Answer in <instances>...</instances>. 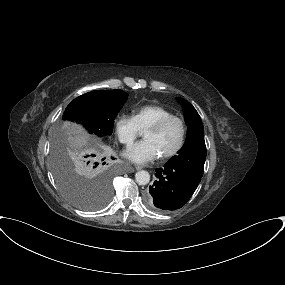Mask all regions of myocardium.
<instances>
[{"instance_id": "obj_1", "label": "myocardium", "mask_w": 285, "mask_h": 285, "mask_svg": "<svg viewBox=\"0 0 285 285\" xmlns=\"http://www.w3.org/2000/svg\"><path fill=\"white\" fill-rule=\"evenodd\" d=\"M172 121H177L180 124V126H181V137H180L179 143L177 144V146L172 151H170L167 154L159 156V158L161 160H169V159L175 157L182 150L184 143H185V140H186V134H187V128H186L185 121L178 116L172 115V116H168V117H165V118L158 120L157 122H155L154 124L149 126L144 131V132H146V131H152V132L160 131L168 123H170Z\"/></svg>"}]
</instances>
